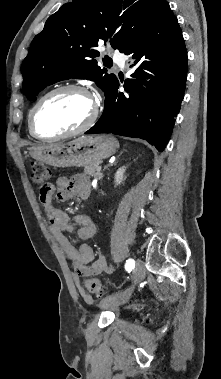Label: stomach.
Wrapping results in <instances>:
<instances>
[{
  "instance_id": "obj_1",
  "label": "stomach",
  "mask_w": 221,
  "mask_h": 379,
  "mask_svg": "<svg viewBox=\"0 0 221 379\" xmlns=\"http://www.w3.org/2000/svg\"><path fill=\"white\" fill-rule=\"evenodd\" d=\"M119 147L111 135L81 136L67 143H53L34 147L30 155L37 161L54 167H79L100 163Z\"/></svg>"
}]
</instances>
